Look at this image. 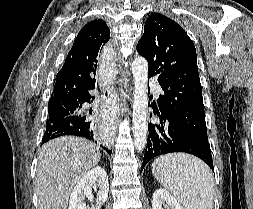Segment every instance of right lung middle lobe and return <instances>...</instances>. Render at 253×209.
Wrapping results in <instances>:
<instances>
[{
  "instance_id": "right-lung-middle-lobe-1",
  "label": "right lung middle lobe",
  "mask_w": 253,
  "mask_h": 209,
  "mask_svg": "<svg viewBox=\"0 0 253 209\" xmlns=\"http://www.w3.org/2000/svg\"><path fill=\"white\" fill-rule=\"evenodd\" d=\"M68 112L60 110H49V118L47 122H56L64 118ZM47 124V123H46Z\"/></svg>"
}]
</instances>
